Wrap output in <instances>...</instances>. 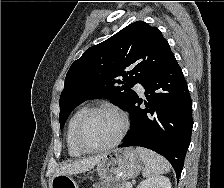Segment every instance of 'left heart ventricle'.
I'll list each match as a JSON object with an SVG mask.
<instances>
[{
	"label": "left heart ventricle",
	"instance_id": "b2bd125f",
	"mask_svg": "<svg viewBox=\"0 0 224 188\" xmlns=\"http://www.w3.org/2000/svg\"><path fill=\"white\" fill-rule=\"evenodd\" d=\"M121 130L120 118L106 111L93 114L82 130V140L85 144L96 147L112 142Z\"/></svg>",
	"mask_w": 224,
	"mask_h": 188
}]
</instances>
